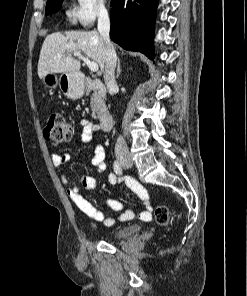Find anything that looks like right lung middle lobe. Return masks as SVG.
Instances as JSON below:
<instances>
[{
  "instance_id": "obj_1",
  "label": "right lung middle lobe",
  "mask_w": 247,
  "mask_h": 296,
  "mask_svg": "<svg viewBox=\"0 0 247 296\" xmlns=\"http://www.w3.org/2000/svg\"><path fill=\"white\" fill-rule=\"evenodd\" d=\"M63 0H47L46 3V13L51 14L52 12H56L60 9V5Z\"/></svg>"
}]
</instances>
